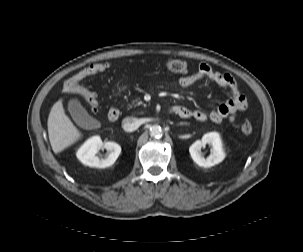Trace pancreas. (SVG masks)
Here are the masks:
<instances>
[{
    "label": "pancreas",
    "instance_id": "obj_1",
    "mask_svg": "<svg viewBox=\"0 0 303 252\" xmlns=\"http://www.w3.org/2000/svg\"><path fill=\"white\" fill-rule=\"evenodd\" d=\"M140 104H142V102L139 101V98H136L135 100H133L131 102V104H129V108H132L133 106H137V105H140Z\"/></svg>",
    "mask_w": 303,
    "mask_h": 252
}]
</instances>
